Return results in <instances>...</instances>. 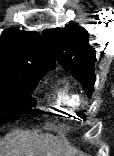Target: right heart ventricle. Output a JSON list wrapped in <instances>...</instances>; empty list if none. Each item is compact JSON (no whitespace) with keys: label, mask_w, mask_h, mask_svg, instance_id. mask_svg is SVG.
<instances>
[{"label":"right heart ventricle","mask_w":114,"mask_h":156,"mask_svg":"<svg viewBox=\"0 0 114 156\" xmlns=\"http://www.w3.org/2000/svg\"><path fill=\"white\" fill-rule=\"evenodd\" d=\"M78 91L67 82L58 83L53 91V108L64 115H74L79 105Z\"/></svg>","instance_id":"e07e8e85"}]
</instances>
